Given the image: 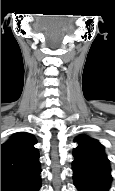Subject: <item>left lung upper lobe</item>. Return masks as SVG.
<instances>
[{
  "mask_svg": "<svg viewBox=\"0 0 115 191\" xmlns=\"http://www.w3.org/2000/svg\"><path fill=\"white\" fill-rule=\"evenodd\" d=\"M75 142L78 143V146L74 149V162L93 163L110 169L104 146L98 140L80 135Z\"/></svg>",
  "mask_w": 115,
  "mask_h": 191,
  "instance_id": "left-lung-upper-lobe-1",
  "label": "left lung upper lobe"
}]
</instances>
